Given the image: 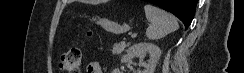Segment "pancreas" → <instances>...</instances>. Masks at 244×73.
<instances>
[{
    "label": "pancreas",
    "mask_w": 244,
    "mask_h": 73,
    "mask_svg": "<svg viewBox=\"0 0 244 73\" xmlns=\"http://www.w3.org/2000/svg\"><path fill=\"white\" fill-rule=\"evenodd\" d=\"M130 43H125L124 41L120 43H115L112 48V53L120 55Z\"/></svg>",
    "instance_id": "1"
}]
</instances>
